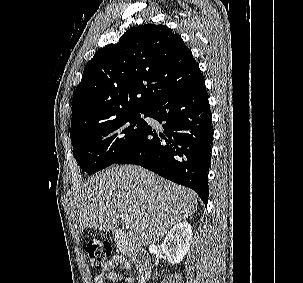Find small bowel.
Listing matches in <instances>:
<instances>
[{
    "label": "small bowel",
    "mask_w": 303,
    "mask_h": 283,
    "mask_svg": "<svg viewBox=\"0 0 303 283\" xmlns=\"http://www.w3.org/2000/svg\"><path fill=\"white\" fill-rule=\"evenodd\" d=\"M121 264L126 269H130V263L120 255H114L105 264L103 269L96 274L94 283H106L107 281H117L119 276L113 272L116 265ZM133 279H128V283H133Z\"/></svg>",
    "instance_id": "1"
}]
</instances>
